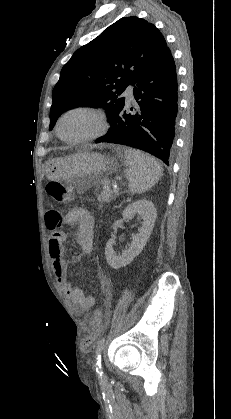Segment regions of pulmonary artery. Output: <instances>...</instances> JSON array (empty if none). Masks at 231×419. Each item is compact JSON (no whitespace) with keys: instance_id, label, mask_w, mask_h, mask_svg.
Segmentation results:
<instances>
[{"instance_id":"pulmonary-artery-1","label":"pulmonary artery","mask_w":231,"mask_h":419,"mask_svg":"<svg viewBox=\"0 0 231 419\" xmlns=\"http://www.w3.org/2000/svg\"><path fill=\"white\" fill-rule=\"evenodd\" d=\"M124 96L126 97L127 101H133L134 92H133V86L132 85L127 86V88L124 91Z\"/></svg>"}]
</instances>
